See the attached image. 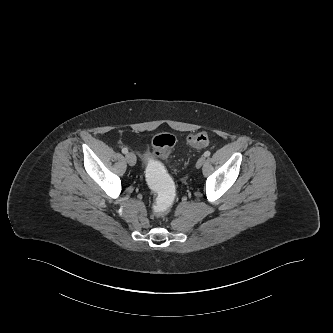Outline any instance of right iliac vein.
Wrapping results in <instances>:
<instances>
[{
    "instance_id": "right-iliac-vein-1",
    "label": "right iliac vein",
    "mask_w": 333,
    "mask_h": 333,
    "mask_svg": "<svg viewBox=\"0 0 333 333\" xmlns=\"http://www.w3.org/2000/svg\"><path fill=\"white\" fill-rule=\"evenodd\" d=\"M126 161L130 166H134L136 164V156L134 153L130 152L126 155Z\"/></svg>"
}]
</instances>
